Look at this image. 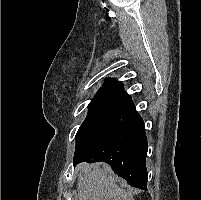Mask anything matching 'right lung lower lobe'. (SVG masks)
<instances>
[{
	"label": "right lung lower lobe",
	"mask_w": 201,
	"mask_h": 200,
	"mask_svg": "<svg viewBox=\"0 0 201 200\" xmlns=\"http://www.w3.org/2000/svg\"><path fill=\"white\" fill-rule=\"evenodd\" d=\"M147 137L133 102L76 137L73 163L106 162L131 186L147 190Z\"/></svg>",
	"instance_id": "1"
}]
</instances>
